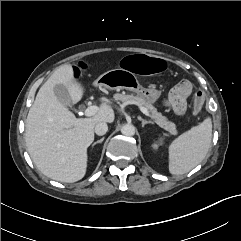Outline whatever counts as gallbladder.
<instances>
[{
  "instance_id": "1",
  "label": "gallbladder",
  "mask_w": 241,
  "mask_h": 241,
  "mask_svg": "<svg viewBox=\"0 0 241 241\" xmlns=\"http://www.w3.org/2000/svg\"><path fill=\"white\" fill-rule=\"evenodd\" d=\"M54 93L58 100L64 105V106H70L71 100L69 97V94L66 90V88L62 85H56L54 87Z\"/></svg>"
}]
</instances>
